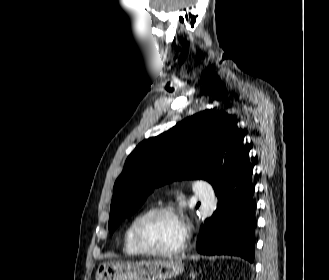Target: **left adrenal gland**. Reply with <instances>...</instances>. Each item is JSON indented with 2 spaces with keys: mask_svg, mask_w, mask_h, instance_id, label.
Segmentation results:
<instances>
[{
  "mask_svg": "<svg viewBox=\"0 0 329 280\" xmlns=\"http://www.w3.org/2000/svg\"><path fill=\"white\" fill-rule=\"evenodd\" d=\"M198 273L197 272H194L193 270L190 272V278L191 280H194L196 277H197Z\"/></svg>",
  "mask_w": 329,
  "mask_h": 280,
  "instance_id": "obj_1",
  "label": "left adrenal gland"
}]
</instances>
